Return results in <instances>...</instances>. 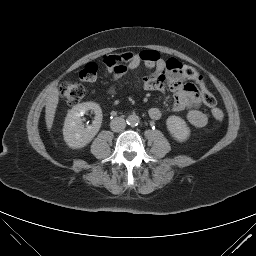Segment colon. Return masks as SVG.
I'll use <instances>...</instances> for the list:
<instances>
[{"label": "colon", "mask_w": 256, "mask_h": 256, "mask_svg": "<svg viewBox=\"0 0 256 256\" xmlns=\"http://www.w3.org/2000/svg\"><path fill=\"white\" fill-rule=\"evenodd\" d=\"M142 56L148 60H158L159 54L153 50H146L142 52ZM123 58L120 54H110L103 58V63L108 69L115 70L122 64ZM181 72L189 80L193 81L195 86L199 89L203 103L211 108V114L215 120L221 122L224 119V113L221 109L216 107L215 96L206 88L202 76L191 66L183 65ZM98 73V65L95 62L87 63L79 73V78L84 82H92L96 79ZM59 93L66 103L73 105L81 101L86 96L85 87L73 81H65L59 86Z\"/></svg>", "instance_id": "5ec220e1"}]
</instances>
